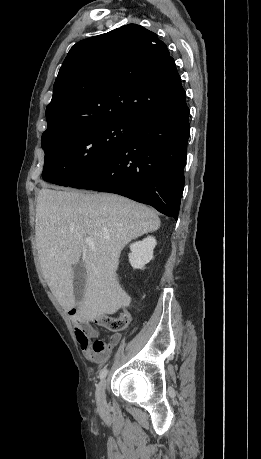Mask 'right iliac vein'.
Wrapping results in <instances>:
<instances>
[{"instance_id": "63e3f726", "label": "right iliac vein", "mask_w": 261, "mask_h": 459, "mask_svg": "<svg viewBox=\"0 0 261 459\" xmlns=\"http://www.w3.org/2000/svg\"><path fill=\"white\" fill-rule=\"evenodd\" d=\"M105 389H106V380L103 379L96 388V401L97 405L100 409H104L106 406V394H105Z\"/></svg>"}]
</instances>
